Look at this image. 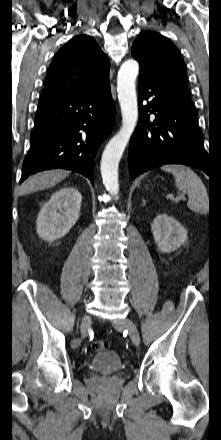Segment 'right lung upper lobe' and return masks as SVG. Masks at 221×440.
Returning a JSON list of instances; mask_svg holds the SVG:
<instances>
[{"label":"right lung upper lobe","instance_id":"cb5924a9","mask_svg":"<svg viewBox=\"0 0 221 440\" xmlns=\"http://www.w3.org/2000/svg\"><path fill=\"white\" fill-rule=\"evenodd\" d=\"M109 68L92 37L76 36L53 59L41 100L101 91L109 85Z\"/></svg>","mask_w":221,"mask_h":440}]
</instances>
